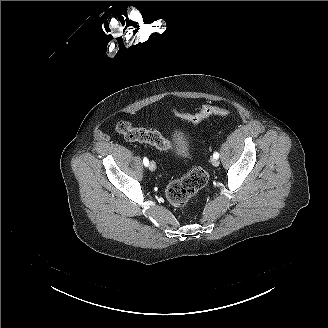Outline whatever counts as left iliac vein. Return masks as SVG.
<instances>
[{"label":"left iliac vein","mask_w":328,"mask_h":328,"mask_svg":"<svg viewBox=\"0 0 328 328\" xmlns=\"http://www.w3.org/2000/svg\"><path fill=\"white\" fill-rule=\"evenodd\" d=\"M211 162L213 166L215 167L219 166V161L216 158H212Z\"/></svg>","instance_id":"obj_1"}]
</instances>
